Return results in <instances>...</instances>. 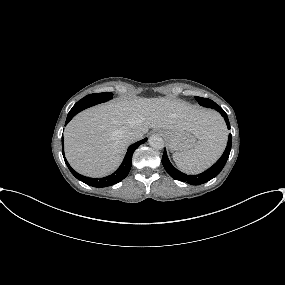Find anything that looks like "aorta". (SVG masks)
Masks as SVG:
<instances>
[{"label":"aorta","instance_id":"1","mask_svg":"<svg viewBox=\"0 0 285 285\" xmlns=\"http://www.w3.org/2000/svg\"><path fill=\"white\" fill-rule=\"evenodd\" d=\"M149 145L157 150H161L164 147L163 139L158 135H152L149 137Z\"/></svg>","mask_w":285,"mask_h":285}]
</instances>
